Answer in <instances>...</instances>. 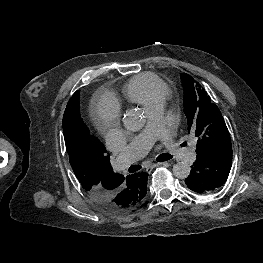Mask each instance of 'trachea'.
Listing matches in <instances>:
<instances>
[{"label": "trachea", "instance_id": "obj_1", "mask_svg": "<svg viewBox=\"0 0 263 263\" xmlns=\"http://www.w3.org/2000/svg\"><path fill=\"white\" fill-rule=\"evenodd\" d=\"M173 156L171 154H161L159 155L156 160L158 162H163V161H167V160H170ZM141 169V166L140 165H133L129 168V172L130 173H133V172H136L138 170Z\"/></svg>", "mask_w": 263, "mask_h": 263}]
</instances>
